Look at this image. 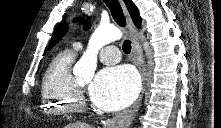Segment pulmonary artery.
I'll return each mask as SVG.
<instances>
[{"label": "pulmonary artery", "mask_w": 221, "mask_h": 128, "mask_svg": "<svg viewBox=\"0 0 221 128\" xmlns=\"http://www.w3.org/2000/svg\"><path fill=\"white\" fill-rule=\"evenodd\" d=\"M74 46L77 50L81 49L80 43H75ZM120 56V51L116 46L108 45L101 50L99 59L102 63L113 64L120 60Z\"/></svg>", "instance_id": "e3ab8cb5"}]
</instances>
